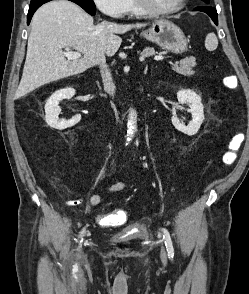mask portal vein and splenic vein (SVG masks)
Instances as JSON below:
<instances>
[{
	"mask_svg": "<svg viewBox=\"0 0 249 294\" xmlns=\"http://www.w3.org/2000/svg\"><path fill=\"white\" fill-rule=\"evenodd\" d=\"M63 54L69 60H74V59H78L81 57L80 52H73L70 49H66V51L63 52ZM163 59H164V57L162 55L154 57V60H156V61L163 60Z\"/></svg>",
	"mask_w": 249,
	"mask_h": 294,
	"instance_id": "obj_1",
	"label": "portal vein and splenic vein"
}]
</instances>
